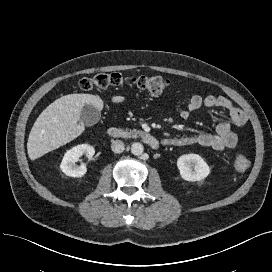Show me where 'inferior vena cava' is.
Wrapping results in <instances>:
<instances>
[{
  "mask_svg": "<svg viewBox=\"0 0 272 272\" xmlns=\"http://www.w3.org/2000/svg\"><path fill=\"white\" fill-rule=\"evenodd\" d=\"M111 149L114 153H122L125 149V146L121 140H115L111 144Z\"/></svg>",
  "mask_w": 272,
  "mask_h": 272,
  "instance_id": "inferior-vena-cava-1",
  "label": "inferior vena cava"
}]
</instances>
